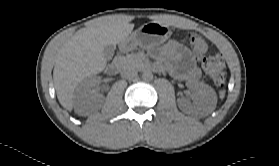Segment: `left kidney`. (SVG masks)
<instances>
[{
	"label": "left kidney",
	"mask_w": 279,
	"mask_h": 166,
	"mask_svg": "<svg viewBox=\"0 0 279 166\" xmlns=\"http://www.w3.org/2000/svg\"><path fill=\"white\" fill-rule=\"evenodd\" d=\"M188 86L194 90L192 102L186 98L177 99L178 107L183 112H188L193 108L202 110L216 101L215 91L209 85L202 82L189 81Z\"/></svg>",
	"instance_id": "5707ae66"
}]
</instances>
